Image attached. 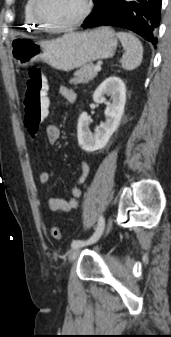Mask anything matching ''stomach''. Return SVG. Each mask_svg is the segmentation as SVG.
Instances as JSON below:
<instances>
[{"instance_id": "obj_1", "label": "stomach", "mask_w": 171, "mask_h": 337, "mask_svg": "<svg viewBox=\"0 0 171 337\" xmlns=\"http://www.w3.org/2000/svg\"><path fill=\"white\" fill-rule=\"evenodd\" d=\"M117 45L114 31L110 27H100L65 34L49 41L15 38L11 42V54L21 67L42 60L56 69L70 71L92 61L112 57Z\"/></svg>"}]
</instances>
